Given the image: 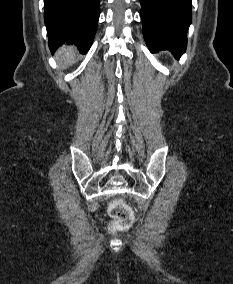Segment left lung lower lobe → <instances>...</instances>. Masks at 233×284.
Returning <instances> with one entry per match:
<instances>
[{"instance_id":"1","label":"left lung lower lobe","mask_w":233,"mask_h":284,"mask_svg":"<svg viewBox=\"0 0 233 284\" xmlns=\"http://www.w3.org/2000/svg\"><path fill=\"white\" fill-rule=\"evenodd\" d=\"M143 34L151 53L171 51L179 59L186 50L192 0H140Z\"/></svg>"}]
</instances>
